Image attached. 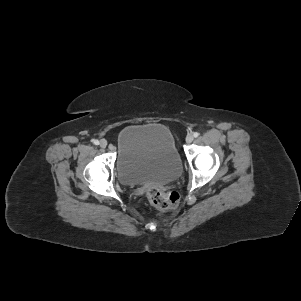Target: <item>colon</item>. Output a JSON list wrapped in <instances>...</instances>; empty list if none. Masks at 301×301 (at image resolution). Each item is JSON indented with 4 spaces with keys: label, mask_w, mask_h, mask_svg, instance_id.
I'll return each mask as SVG.
<instances>
[{
    "label": "colon",
    "mask_w": 301,
    "mask_h": 301,
    "mask_svg": "<svg viewBox=\"0 0 301 301\" xmlns=\"http://www.w3.org/2000/svg\"><path fill=\"white\" fill-rule=\"evenodd\" d=\"M149 202L160 212L164 213L177 207L179 193L177 191L164 192L156 187H149L146 191Z\"/></svg>",
    "instance_id": "colon-1"
}]
</instances>
